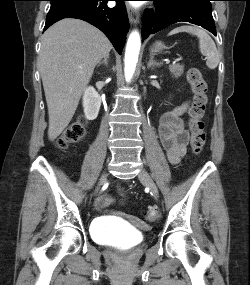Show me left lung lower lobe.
I'll list each match as a JSON object with an SVG mask.
<instances>
[{
	"label": "left lung lower lobe",
	"instance_id": "0a47b994",
	"mask_svg": "<svg viewBox=\"0 0 250 285\" xmlns=\"http://www.w3.org/2000/svg\"><path fill=\"white\" fill-rule=\"evenodd\" d=\"M152 1H154L155 13H152V10H146L144 13L142 41L149 35L179 22H189L199 25L216 35V27L212 17L211 7L196 2H184L166 8L159 0Z\"/></svg>",
	"mask_w": 250,
	"mask_h": 285
}]
</instances>
